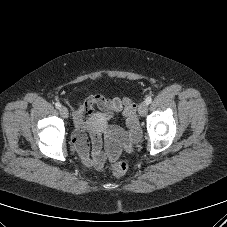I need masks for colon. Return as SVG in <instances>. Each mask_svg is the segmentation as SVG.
I'll return each mask as SVG.
<instances>
[{
    "label": "colon",
    "mask_w": 227,
    "mask_h": 227,
    "mask_svg": "<svg viewBox=\"0 0 227 227\" xmlns=\"http://www.w3.org/2000/svg\"><path fill=\"white\" fill-rule=\"evenodd\" d=\"M127 168L128 166L124 161L114 162L110 167L112 174L116 177L123 176L126 173Z\"/></svg>",
    "instance_id": "5ec220e1"
}]
</instances>
